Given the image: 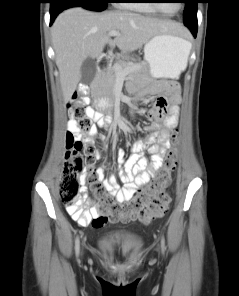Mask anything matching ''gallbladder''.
Segmentation results:
<instances>
[{"mask_svg": "<svg viewBox=\"0 0 239 296\" xmlns=\"http://www.w3.org/2000/svg\"><path fill=\"white\" fill-rule=\"evenodd\" d=\"M96 74V61L91 57H87L81 66V81L83 83H91Z\"/></svg>", "mask_w": 239, "mask_h": 296, "instance_id": "obj_1", "label": "gallbladder"}]
</instances>
